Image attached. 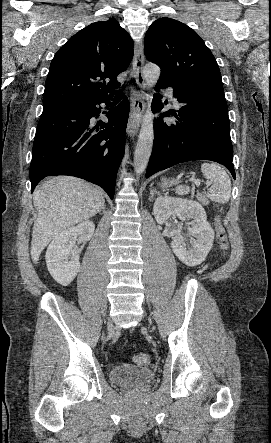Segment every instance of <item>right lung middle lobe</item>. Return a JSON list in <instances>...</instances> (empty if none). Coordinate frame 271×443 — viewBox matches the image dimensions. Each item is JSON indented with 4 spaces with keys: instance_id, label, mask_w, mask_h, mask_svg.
Instances as JSON below:
<instances>
[{
    "instance_id": "1",
    "label": "right lung middle lobe",
    "mask_w": 271,
    "mask_h": 443,
    "mask_svg": "<svg viewBox=\"0 0 271 443\" xmlns=\"http://www.w3.org/2000/svg\"><path fill=\"white\" fill-rule=\"evenodd\" d=\"M54 105H57V104H48V105H43V109H44V108H48V107H51V106H54Z\"/></svg>"
}]
</instances>
